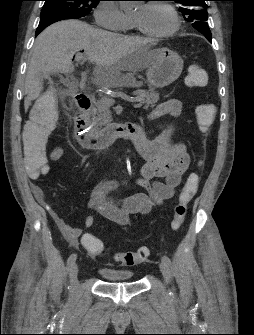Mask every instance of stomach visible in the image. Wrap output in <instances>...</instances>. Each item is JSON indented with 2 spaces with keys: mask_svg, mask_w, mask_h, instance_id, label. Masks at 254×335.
Masks as SVG:
<instances>
[{
  "mask_svg": "<svg viewBox=\"0 0 254 335\" xmlns=\"http://www.w3.org/2000/svg\"><path fill=\"white\" fill-rule=\"evenodd\" d=\"M152 62L146 75L152 88H163L176 81L183 70V59L174 51L161 48L151 50Z\"/></svg>",
  "mask_w": 254,
  "mask_h": 335,
  "instance_id": "stomach-1",
  "label": "stomach"
}]
</instances>
